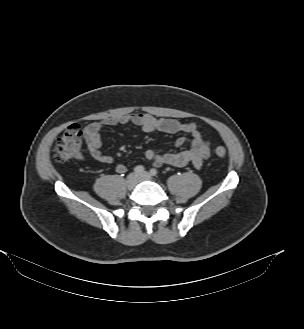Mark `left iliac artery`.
<instances>
[{"label":"left iliac artery","mask_w":304,"mask_h":329,"mask_svg":"<svg viewBox=\"0 0 304 329\" xmlns=\"http://www.w3.org/2000/svg\"><path fill=\"white\" fill-rule=\"evenodd\" d=\"M150 174H151L152 176H157V175H158V171H157V169L152 168V169L150 170Z\"/></svg>","instance_id":"44dca946"}]
</instances>
